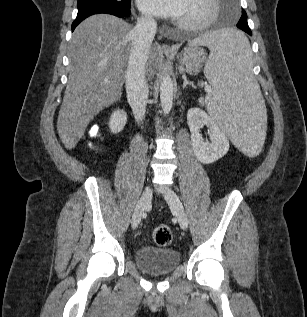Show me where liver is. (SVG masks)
Listing matches in <instances>:
<instances>
[{
    "label": "liver",
    "instance_id": "1",
    "mask_svg": "<svg viewBox=\"0 0 307 317\" xmlns=\"http://www.w3.org/2000/svg\"><path fill=\"white\" fill-rule=\"evenodd\" d=\"M132 26L112 15L85 19L69 45V78L57 120L58 135L67 149L74 148L90 121L117 101L126 80ZM159 49L152 46L146 64L151 79L158 70Z\"/></svg>",
    "mask_w": 307,
    "mask_h": 317
}]
</instances>
